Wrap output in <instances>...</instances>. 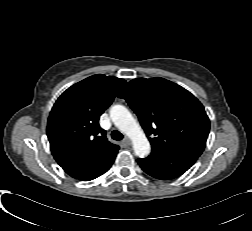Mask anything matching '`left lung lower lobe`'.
<instances>
[{"label":"left lung lower lobe","instance_id":"obj_1","mask_svg":"<svg viewBox=\"0 0 252 231\" xmlns=\"http://www.w3.org/2000/svg\"><path fill=\"white\" fill-rule=\"evenodd\" d=\"M200 155L182 149L153 148L151 155L138 159L140 167L152 177L167 180L186 172Z\"/></svg>","mask_w":252,"mask_h":231}]
</instances>
